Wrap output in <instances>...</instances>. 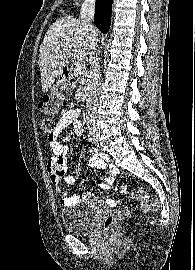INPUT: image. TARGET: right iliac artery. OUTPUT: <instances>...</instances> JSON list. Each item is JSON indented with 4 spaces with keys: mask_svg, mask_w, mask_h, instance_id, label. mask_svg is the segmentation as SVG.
<instances>
[{
    "mask_svg": "<svg viewBox=\"0 0 195 270\" xmlns=\"http://www.w3.org/2000/svg\"><path fill=\"white\" fill-rule=\"evenodd\" d=\"M88 139H89L90 142L93 141V134H92V132H89L88 133Z\"/></svg>",
    "mask_w": 195,
    "mask_h": 270,
    "instance_id": "obj_1",
    "label": "right iliac artery"
}]
</instances>
